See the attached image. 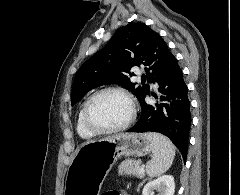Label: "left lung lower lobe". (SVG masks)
Instances as JSON below:
<instances>
[{
    "label": "left lung lower lobe",
    "instance_id": "left-lung-lower-lobe-1",
    "mask_svg": "<svg viewBox=\"0 0 240 195\" xmlns=\"http://www.w3.org/2000/svg\"><path fill=\"white\" fill-rule=\"evenodd\" d=\"M153 82L159 86V97L152 93L157 102L145 101L140 119L127 132L162 133L172 140L186 160L192 121L190 100L182 69L173 54Z\"/></svg>",
    "mask_w": 240,
    "mask_h": 195
}]
</instances>
